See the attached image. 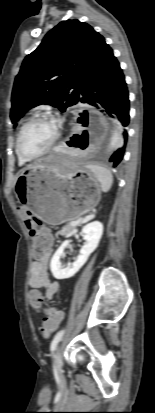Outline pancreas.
I'll return each mask as SVG.
<instances>
[{"mask_svg": "<svg viewBox=\"0 0 155 413\" xmlns=\"http://www.w3.org/2000/svg\"><path fill=\"white\" fill-rule=\"evenodd\" d=\"M78 224H79V223H77V224H75V225H72V224L70 223V224L64 226V227L58 232V234H60V235H65V234L71 232Z\"/></svg>", "mask_w": 155, "mask_h": 413, "instance_id": "1", "label": "pancreas"}]
</instances>
